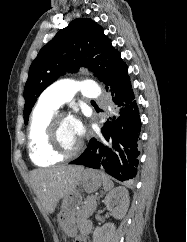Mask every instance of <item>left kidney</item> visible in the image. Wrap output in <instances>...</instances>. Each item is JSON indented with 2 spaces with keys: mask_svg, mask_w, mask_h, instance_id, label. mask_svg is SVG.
<instances>
[{
  "mask_svg": "<svg viewBox=\"0 0 187 242\" xmlns=\"http://www.w3.org/2000/svg\"><path fill=\"white\" fill-rule=\"evenodd\" d=\"M104 203L116 219H122L130 203L128 190L125 187L114 188L106 195ZM114 232L115 226L112 223L96 227L93 232V242H109Z\"/></svg>",
  "mask_w": 187,
  "mask_h": 242,
  "instance_id": "obj_1",
  "label": "left kidney"
}]
</instances>
